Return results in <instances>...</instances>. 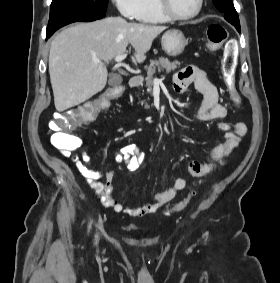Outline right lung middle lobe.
Instances as JSON below:
<instances>
[{"label": "right lung middle lobe", "mask_w": 280, "mask_h": 283, "mask_svg": "<svg viewBox=\"0 0 280 283\" xmlns=\"http://www.w3.org/2000/svg\"><path fill=\"white\" fill-rule=\"evenodd\" d=\"M108 0H53L48 28L63 22H88L105 17Z\"/></svg>", "instance_id": "1"}]
</instances>
